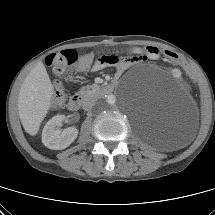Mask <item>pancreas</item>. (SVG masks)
Returning <instances> with one entry per match:
<instances>
[{"mask_svg":"<svg viewBox=\"0 0 215 215\" xmlns=\"http://www.w3.org/2000/svg\"><path fill=\"white\" fill-rule=\"evenodd\" d=\"M100 89V86L97 84L87 85L86 87H82L79 91L81 96H89L94 94L96 91Z\"/></svg>","mask_w":215,"mask_h":215,"instance_id":"obj_1","label":"pancreas"}]
</instances>
